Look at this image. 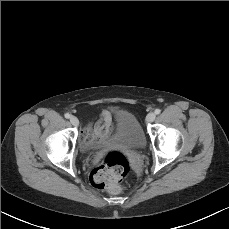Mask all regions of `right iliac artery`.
<instances>
[{"label":"right iliac artery","mask_w":229,"mask_h":229,"mask_svg":"<svg viewBox=\"0 0 229 229\" xmlns=\"http://www.w3.org/2000/svg\"><path fill=\"white\" fill-rule=\"evenodd\" d=\"M65 118L69 119L70 118V114L69 113H66L65 114Z\"/></svg>","instance_id":"obj_1"}]
</instances>
